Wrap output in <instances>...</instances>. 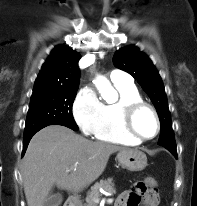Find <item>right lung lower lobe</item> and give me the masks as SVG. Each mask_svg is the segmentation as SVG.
<instances>
[{
    "label": "right lung lower lobe",
    "mask_w": 197,
    "mask_h": 206,
    "mask_svg": "<svg viewBox=\"0 0 197 206\" xmlns=\"http://www.w3.org/2000/svg\"><path fill=\"white\" fill-rule=\"evenodd\" d=\"M36 132H38V131H36ZM36 132L24 136V141H23V153H22V156L24 155V153H25V151H26V149H27V146H28V144H29L31 138L33 137V135H34Z\"/></svg>",
    "instance_id": "obj_1"
}]
</instances>
